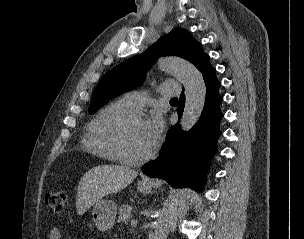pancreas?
<instances>
[{
    "label": "pancreas",
    "instance_id": "1",
    "mask_svg": "<svg viewBox=\"0 0 304 239\" xmlns=\"http://www.w3.org/2000/svg\"><path fill=\"white\" fill-rule=\"evenodd\" d=\"M131 217H132L131 206L128 204H123L119 208L118 223H127Z\"/></svg>",
    "mask_w": 304,
    "mask_h": 239
}]
</instances>
